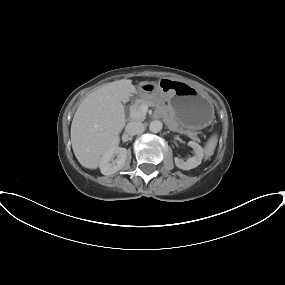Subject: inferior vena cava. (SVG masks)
<instances>
[{
  "label": "inferior vena cava",
  "mask_w": 285,
  "mask_h": 285,
  "mask_svg": "<svg viewBox=\"0 0 285 285\" xmlns=\"http://www.w3.org/2000/svg\"><path fill=\"white\" fill-rule=\"evenodd\" d=\"M145 130V126L141 122H130L127 124L125 131L128 135L134 136L137 134L143 133Z\"/></svg>",
  "instance_id": "obj_1"
}]
</instances>
